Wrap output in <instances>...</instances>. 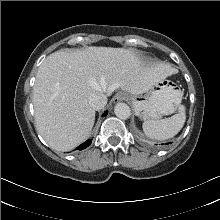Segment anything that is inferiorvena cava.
Listing matches in <instances>:
<instances>
[{"mask_svg": "<svg viewBox=\"0 0 220 220\" xmlns=\"http://www.w3.org/2000/svg\"><path fill=\"white\" fill-rule=\"evenodd\" d=\"M89 104L94 110H100L107 104V97L102 93H95L89 97Z\"/></svg>", "mask_w": 220, "mask_h": 220, "instance_id": "602c4592", "label": "inferior vena cava"}]
</instances>
